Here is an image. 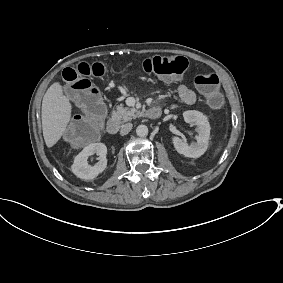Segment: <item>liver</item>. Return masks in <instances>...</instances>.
Instances as JSON below:
<instances>
[{"mask_svg":"<svg viewBox=\"0 0 283 283\" xmlns=\"http://www.w3.org/2000/svg\"><path fill=\"white\" fill-rule=\"evenodd\" d=\"M73 106L59 81L46 91L42 102V128L47 148H52L64 135L72 120Z\"/></svg>","mask_w":283,"mask_h":283,"instance_id":"liver-1","label":"liver"}]
</instances>
